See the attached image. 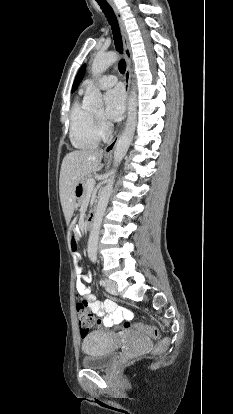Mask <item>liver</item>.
<instances>
[{"label": "liver", "instance_id": "liver-1", "mask_svg": "<svg viewBox=\"0 0 233 414\" xmlns=\"http://www.w3.org/2000/svg\"><path fill=\"white\" fill-rule=\"evenodd\" d=\"M103 150L90 148L68 153L61 165L59 178L60 200L67 223L70 222L76 202L75 188L83 178L102 168Z\"/></svg>", "mask_w": 233, "mask_h": 414}]
</instances>
